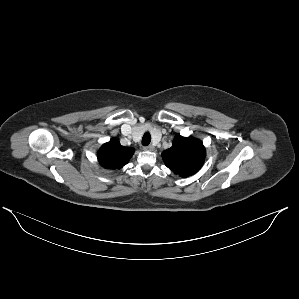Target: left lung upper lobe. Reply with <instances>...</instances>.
I'll return each instance as SVG.
<instances>
[{"instance_id":"5c2ea615","label":"left lung upper lobe","mask_w":299,"mask_h":299,"mask_svg":"<svg viewBox=\"0 0 299 299\" xmlns=\"http://www.w3.org/2000/svg\"><path fill=\"white\" fill-rule=\"evenodd\" d=\"M203 142L193 137L176 135L172 147L162 153L166 166L182 177L196 173L205 160Z\"/></svg>"}]
</instances>
